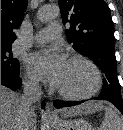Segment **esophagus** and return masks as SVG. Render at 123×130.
I'll use <instances>...</instances> for the list:
<instances>
[{"mask_svg": "<svg viewBox=\"0 0 123 130\" xmlns=\"http://www.w3.org/2000/svg\"><path fill=\"white\" fill-rule=\"evenodd\" d=\"M44 117L48 118V119L55 118V114L53 113V111L51 110L49 105H47V107H46V110L44 112Z\"/></svg>", "mask_w": 123, "mask_h": 130, "instance_id": "1", "label": "esophagus"}]
</instances>
